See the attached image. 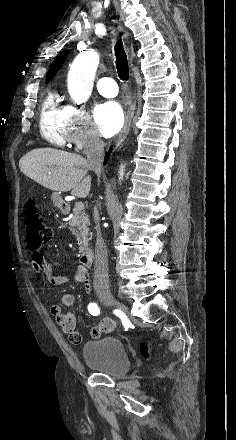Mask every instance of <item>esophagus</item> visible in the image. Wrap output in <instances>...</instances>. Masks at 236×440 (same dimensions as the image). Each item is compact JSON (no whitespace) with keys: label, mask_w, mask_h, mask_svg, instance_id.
<instances>
[{"label":"esophagus","mask_w":236,"mask_h":440,"mask_svg":"<svg viewBox=\"0 0 236 440\" xmlns=\"http://www.w3.org/2000/svg\"><path fill=\"white\" fill-rule=\"evenodd\" d=\"M133 58V55H131V60ZM134 110H135V104L132 103L131 106L128 108L127 112H126V116H125V123L123 126L122 131L120 132L119 136L117 137V139L114 142V146L117 148L119 147L122 142L125 140L129 130H130V126H131V121H132V117L134 115Z\"/></svg>","instance_id":"34e87169"}]
</instances>
